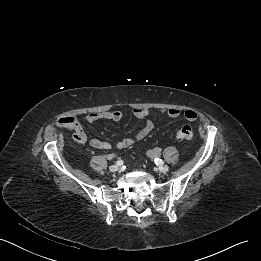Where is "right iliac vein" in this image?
Segmentation results:
<instances>
[{"instance_id": "right-iliac-vein-1", "label": "right iliac vein", "mask_w": 261, "mask_h": 261, "mask_svg": "<svg viewBox=\"0 0 261 261\" xmlns=\"http://www.w3.org/2000/svg\"><path fill=\"white\" fill-rule=\"evenodd\" d=\"M109 170L111 172H117L119 170V166L118 165H112L109 167Z\"/></svg>"}]
</instances>
